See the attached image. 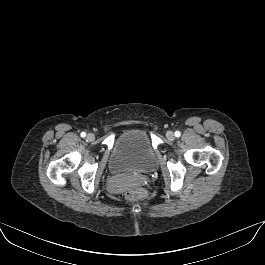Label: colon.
I'll list each match as a JSON object with an SVG mask.
<instances>
[{"label": "colon", "instance_id": "colon-1", "mask_svg": "<svg viewBox=\"0 0 265 265\" xmlns=\"http://www.w3.org/2000/svg\"><path fill=\"white\" fill-rule=\"evenodd\" d=\"M126 198L129 200H138L142 197V192L137 189H129L125 193Z\"/></svg>", "mask_w": 265, "mask_h": 265}]
</instances>
